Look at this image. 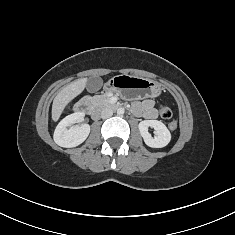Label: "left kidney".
<instances>
[{
	"mask_svg": "<svg viewBox=\"0 0 235 235\" xmlns=\"http://www.w3.org/2000/svg\"><path fill=\"white\" fill-rule=\"evenodd\" d=\"M141 136L147 146L152 148H162L168 145L171 140V133L164 123L158 120H144L138 125ZM154 128L155 136L152 137L148 128Z\"/></svg>",
	"mask_w": 235,
	"mask_h": 235,
	"instance_id": "left-kidney-1",
	"label": "left kidney"
}]
</instances>
